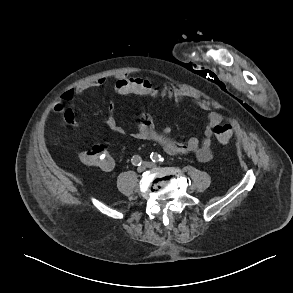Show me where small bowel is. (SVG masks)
Here are the masks:
<instances>
[{"label":"small bowel","mask_w":293,"mask_h":293,"mask_svg":"<svg viewBox=\"0 0 293 293\" xmlns=\"http://www.w3.org/2000/svg\"><path fill=\"white\" fill-rule=\"evenodd\" d=\"M104 83V79H97L94 81L81 83L66 90L61 96V101H58L54 104L53 110L57 113H61L67 124L74 127L77 126V121L75 119L73 110L71 108L65 107L64 102L71 101L76 96L91 88L101 87L104 85ZM160 90L164 96H167L173 100L175 104H178L183 99L187 98L193 100L202 110L208 111V123L204 129L202 139L199 140L195 137H191L184 142H178L170 137L169 128H164L161 130L157 129L154 125L152 117L146 113L140 115L138 120V128L137 131L133 134V137L137 140L152 141L158 144L165 152L169 154H193L200 162H209L213 158V129L222 122V116L217 112L210 111L204 102L198 101L194 95L188 91L178 89L166 83L161 84ZM113 92L118 96H126L130 94L157 96L159 93V88L145 78L120 75L116 78ZM113 111L114 103L112 102L108 107L107 114L103 117V121L113 132L124 134L125 129L115 119L113 116ZM114 166L115 162L112 159L110 166L103 168V170L111 171Z\"/></svg>","instance_id":"1"}]
</instances>
